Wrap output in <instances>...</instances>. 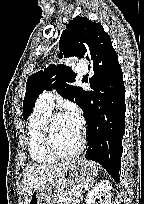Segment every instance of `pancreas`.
Returning a JSON list of instances; mask_svg holds the SVG:
<instances>
[{
    "mask_svg": "<svg viewBox=\"0 0 144 204\" xmlns=\"http://www.w3.org/2000/svg\"><path fill=\"white\" fill-rule=\"evenodd\" d=\"M75 188H70L66 191H61L57 194L56 199L59 201L58 204H78L79 198L73 195Z\"/></svg>",
    "mask_w": 144,
    "mask_h": 204,
    "instance_id": "pancreas-1",
    "label": "pancreas"
}]
</instances>
